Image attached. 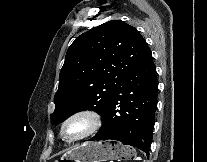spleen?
<instances>
[{
	"mask_svg": "<svg viewBox=\"0 0 207 162\" xmlns=\"http://www.w3.org/2000/svg\"><path fill=\"white\" fill-rule=\"evenodd\" d=\"M135 160H141V158L140 157H137V158H135Z\"/></svg>",
	"mask_w": 207,
	"mask_h": 162,
	"instance_id": "1",
	"label": "spleen"
}]
</instances>
